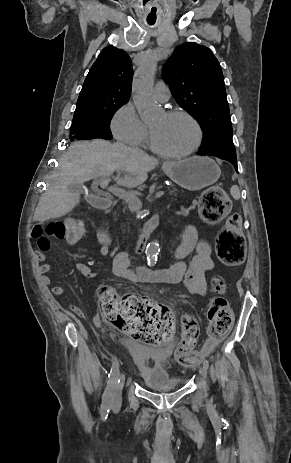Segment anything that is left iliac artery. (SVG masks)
Listing matches in <instances>:
<instances>
[{
	"label": "left iliac artery",
	"instance_id": "1",
	"mask_svg": "<svg viewBox=\"0 0 291 463\" xmlns=\"http://www.w3.org/2000/svg\"><path fill=\"white\" fill-rule=\"evenodd\" d=\"M203 365L206 366V368L208 369V367H209V362H208V360L205 359V360L203 361Z\"/></svg>",
	"mask_w": 291,
	"mask_h": 463
}]
</instances>
